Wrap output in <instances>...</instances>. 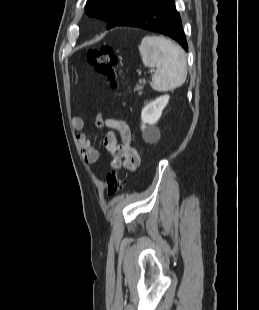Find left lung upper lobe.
Here are the masks:
<instances>
[{
    "label": "left lung upper lobe",
    "instance_id": "left-lung-upper-lobe-1",
    "mask_svg": "<svg viewBox=\"0 0 259 310\" xmlns=\"http://www.w3.org/2000/svg\"><path fill=\"white\" fill-rule=\"evenodd\" d=\"M149 0H87L85 12L108 22L107 29L113 28L132 8Z\"/></svg>",
    "mask_w": 259,
    "mask_h": 310
}]
</instances>
